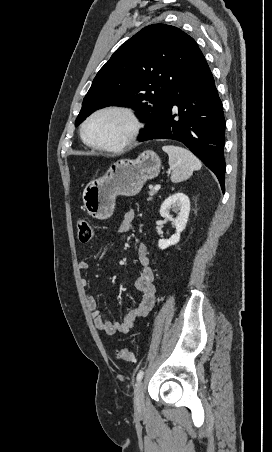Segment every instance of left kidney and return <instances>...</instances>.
Instances as JSON below:
<instances>
[{"label": "left kidney", "mask_w": 272, "mask_h": 452, "mask_svg": "<svg viewBox=\"0 0 272 452\" xmlns=\"http://www.w3.org/2000/svg\"><path fill=\"white\" fill-rule=\"evenodd\" d=\"M171 211L176 214L175 217L170 215ZM189 212L190 200L184 193L178 192L172 194L164 200L160 207V215L172 222L176 228V232L169 239H159L158 247L160 249H166L171 245H176L180 241V234L186 227Z\"/></svg>", "instance_id": "1"}]
</instances>
